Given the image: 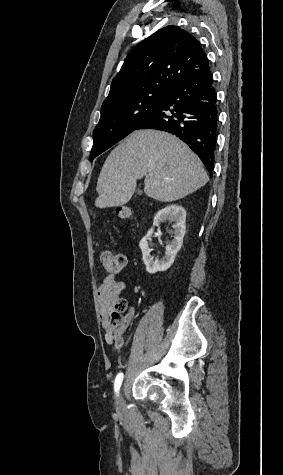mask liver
Segmentation results:
<instances>
[{
    "mask_svg": "<svg viewBox=\"0 0 283 475\" xmlns=\"http://www.w3.org/2000/svg\"><path fill=\"white\" fill-rule=\"evenodd\" d=\"M159 202H176L207 184L203 164L176 136L159 130H136L109 154L97 182L96 208L124 206L137 180Z\"/></svg>",
    "mask_w": 283,
    "mask_h": 475,
    "instance_id": "obj_1",
    "label": "liver"
}]
</instances>
